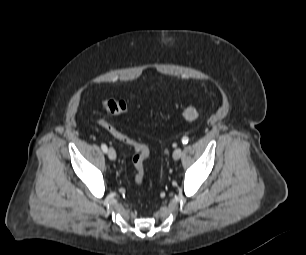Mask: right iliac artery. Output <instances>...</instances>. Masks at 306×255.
I'll list each match as a JSON object with an SVG mask.
<instances>
[{
	"label": "right iliac artery",
	"mask_w": 306,
	"mask_h": 255,
	"mask_svg": "<svg viewBox=\"0 0 306 255\" xmlns=\"http://www.w3.org/2000/svg\"><path fill=\"white\" fill-rule=\"evenodd\" d=\"M101 149L103 150L104 153H106L108 151V148L105 144L101 145Z\"/></svg>",
	"instance_id": "right-iliac-artery-1"
}]
</instances>
